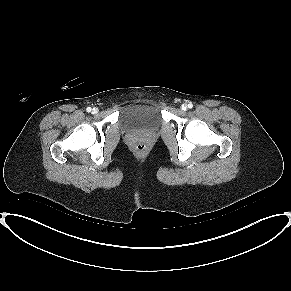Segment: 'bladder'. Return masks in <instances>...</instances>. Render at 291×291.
<instances>
[{"label":"bladder","mask_w":291,"mask_h":291,"mask_svg":"<svg viewBox=\"0 0 291 291\" xmlns=\"http://www.w3.org/2000/svg\"><path fill=\"white\" fill-rule=\"evenodd\" d=\"M121 123L127 130L156 129L162 123V114L156 105L133 104L122 112Z\"/></svg>","instance_id":"obj_1"}]
</instances>
